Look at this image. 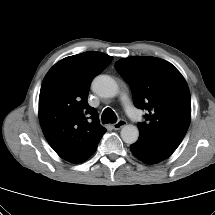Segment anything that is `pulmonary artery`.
<instances>
[{"mask_svg": "<svg viewBox=\"0 0 215 215\" xmlns=\"http://www.w3.org/2000/svg\"><path fill=\"white\" fill-rule=\"evenodd\" d=\"M121 100H122L123 106H124L127 114L129 116H131L132 118L139 120L140 119L139 113L133 107V105L131 104V102L129 101L128 97L125 94H122Z\"/></svg>", "mask_w": 215, "mask_h": 215, "instance_id": "pulmonary-artery-1", "label": "pulmonary artery"}]
</instances>
